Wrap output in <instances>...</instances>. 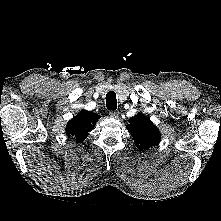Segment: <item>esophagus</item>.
Segmentation results:
<instances>
[{
    "label": "esophagus",
    "instance_id": "34e87169",
    "mask_svg": "<svg viewBox=\"0 0 221 221\" xmlns=\"http://www.w3.org/2000/svg\"><path fill=\"white\" fill-rule=\"evenodd\" d=\"M110 117L112 118H118L119 112L118 111H110L109 112Z\"/></svg>",
    "mask_w": 221,
    "mask_h": 221
}]
</instances>
